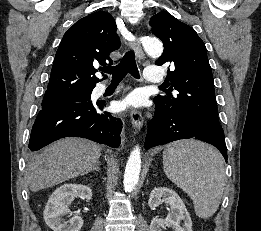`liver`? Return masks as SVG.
<instances>
[{
    "mask_svg": "<svg viewBox=\"0 0 261 231\" xmlns=\"http://www.w3.org/2000/svg\"><path fill=\"white\" fill-rule=\"evenodd\" d=\"M101 147L80 138H64L49 145L27 165L26 181L32 192L49 188L90 172Z\"/></svg>",
    "mask_w": 261,
    "mask_h": 231,
    "instance_id": "6515ba94",
    "label": "liver"
}]
</instances>
